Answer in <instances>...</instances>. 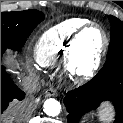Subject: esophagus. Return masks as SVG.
<instances>
[{"label":"esophagus","instance_id":"esophagus-1","mask_svg":"<svg viewBox=\"0 0 123 123\" xmlns=\"http://www.w3.org/2000/svg\"><path fill=\"white\" fill-rule=\"evenodd\" d=\"M57 95V91L55 88H48L47 90H45L44 92V96L45 97H54Z\"/></svg>","mask_w":123,"mask_h":123}]
</instances>
